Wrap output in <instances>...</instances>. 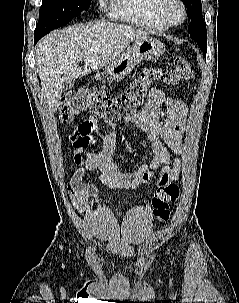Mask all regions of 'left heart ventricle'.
Here are the masks:
<instances>
[{"label": "left heart ventricle", "mask_w": 239, "mask_h": 303, "mask_svg": "<svg viewBox=\"0 0 239 303\" xmlns=\"http://www.w3.org/2000/svg\"><path fill=\"white\" fill-rule=\"evenodd\" d=\"M168 14L174 21H180L182 17L181 9L177 4H170L168 6Z\"/></svg>", "instance_id": "obj_1"}]
</instances>
